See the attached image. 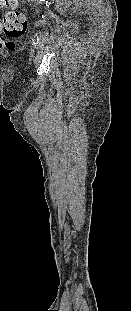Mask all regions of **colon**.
<instances>
[{
    "label": "colon",
    "mask_w": 131,
    "mask_h": 311,
    "mask_svg": "<svg viewBox=\"0 0 131 311\" xmlns=\"http://www.w3.org/2000/svg\"><path fill=\"white\" fill-rule=\"evenodd\" d=\"M9 9L0 19V49L12 50L15 48L13 39L20 37L26 30V16L17 7V0H0V10Z\"/></svg>",
    "instance_id": "obj_1"
}]
</instances>
